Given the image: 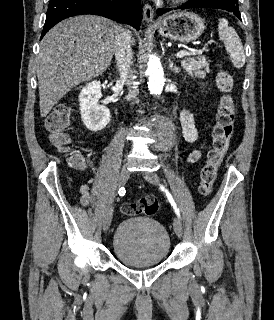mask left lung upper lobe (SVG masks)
<instances>
[{
	"label": "left lung upper lobe",
	"mask_w": 274,
	"mask_h": 320,
	"mask_svg": "<svg viewBox=\"0 0 274 320\" xmlns=\"http://www.w3.org/2000/svg\"><path fill=\"white\" fill-rule=\"evenodd\" d=\"M220 2H223L225 4L231 5V6H236L238 7V0H218Z\"/></svg>",
	"instance_id": "1"
}]
</instances>
